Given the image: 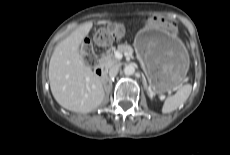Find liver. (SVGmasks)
I'll list each match as a JSON object with an SVG mask.
<instances>
[{"label":"liver","mask_w":230,"mask_h":155,"mask_svg":"<svg viewBox=\"0 0 230 155\" xmlns=\"http://www.w3.org/2000/svg\"><path fill=\"white\" fill-rule=\"evenodd\" d=\"M109 21L100 20V24ZM93 23L80 25L54 49L49 63V82L55 100L67 110L89 113L103 101V79L95 75L80 55V45Z\"/></svg>","instance_id":"1"}]
</instances>
